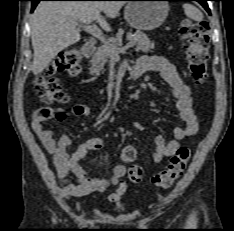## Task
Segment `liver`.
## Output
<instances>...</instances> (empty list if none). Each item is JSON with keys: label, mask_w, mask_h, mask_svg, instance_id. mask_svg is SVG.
<instances>
[{"label": "liver", "mask_w": 234, "mask_h": 231, "mask_svg": "<svg viewBox=\"0 0 234 231\" xmlns=\"http://www.w3.org/2000/svg\"><path fill=\"white\" fill-rule=\"evenodd\" d=\"M123 1H42L31 20V39L34 50L32 72L41 73L64 49L77 43L79 22L97 21L106 31L111 30L105 18H116Z\"/></svg>", "instance_id": "6515ba94"}]
</instances>
